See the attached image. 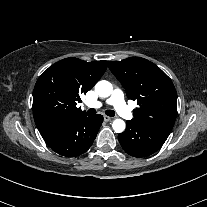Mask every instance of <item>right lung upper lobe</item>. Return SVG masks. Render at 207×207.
<instances>
[{"label":"right lung upper lobe","instance_id":"1","mask_svg":"<svg viewBox=\"0 0 207 207\" xmlns=\"http://www.w3.org/2000/svg\"><path fill=\"white\" fill-rule=\"evenodd\" d=\"M106 68V61L85 62L71 57L53 64L38 78L33 91V116L41 135L86 116L76 104Z\"/></svg>","mask_w":207,"mask_h":207}]
</instances>
